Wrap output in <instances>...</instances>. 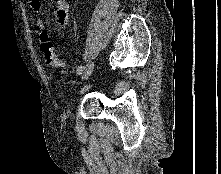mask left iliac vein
Listing matches in <instances>:
<instances>
[{"label":"left iliac vein","instance_id":"1","mask_svg":"<svg viewBox=\"0 0 221 174\" xmlns=\"http://www.w3.org/2000/svg\"><path fill=\"white\" fill-rule=\"evenodd\" d=\"M93 68H94V63H93V62H89V63L85 66L83 72L81 73V74H82V77H81L82 80L87 79V78L91 75V73H92V71H93Z\"/></svg>","mask_w":221,"mask_h":174}]
</instances>
